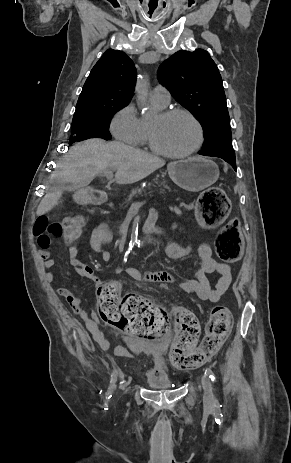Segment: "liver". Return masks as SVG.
Listing matches in <instances>:
<instances>
[{"label":"liver","mask_w":291,"mask_h":463,"mask_svg":"<svg viewBox=\"0 0 291 463\" xmlns=\"http://www.w3.org/2000/svg\"><path fill=\"white\" fill-rule=\"evenodd\" d=\"M164 165V160L140 149L96 138L71 147L52 178L61 185L72 183L80 188L97 175L112 169L116 171V183L132 184ZM62 193V186L48 192L37 208V215H43L58 205Z\"/></svg>","instance_id":"6515ba94"}]
</instances>
